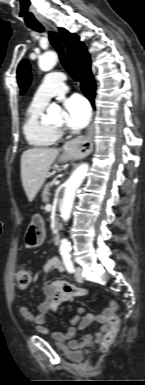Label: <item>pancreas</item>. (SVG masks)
Masks as SVG:
<instances>
[{
	"label": "pancreas",
	"mask_w": 145,
	"mask_h": 385,
	"mask_svg": "<svg viewBox=\"0 0 145 385\" xmlns=\"http://www.w3.org/2000/svg\"><path fill=\"white\" fill-rule=\"evenodd\" d=\"M50 185H46L42 192V201L48 203L50 196Z\"/></svg>",
	"instance_id": "1"
}]
</instances>
